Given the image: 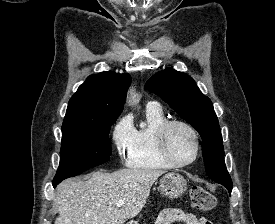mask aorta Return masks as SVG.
<instances>
[{
	"instance_id": "aorta-1",
	"label": "aorta",
	"mask_w": 275,
	"mask_h": 224,
	"mask_svg": "<svg viewBox=\"0 0 275 224\" xmlns=\"http://www.w3.org/2000/svg\"><path fill=\"white\" fill-rule=\"evenodd\" d=\"M131 104L134 105L137 102L135 93L131 92Z\"/></svg>"
}]
</instances>
